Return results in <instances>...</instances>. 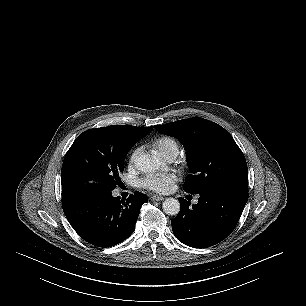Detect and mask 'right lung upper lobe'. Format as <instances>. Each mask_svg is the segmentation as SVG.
Instances as JSON below:
<instances>
[{
    "label": "right lung upper lobe",
    "instance_id": "1",
    "mask_svg": "<svg viewBox=\"0 0 306 306\" xmlns=\"http://www.w3.org/2000/svg\"><path fill=\"white\" fill-rule=\"evenodd\" d=\"M153 129L151 127H134L131 125H113L103 128L89 129L80 135L102 134L116 140L137 142L147 136Z\"/></svg>",
    "mask_w": 306,
    "mask_h": 306
}]
</instances>
